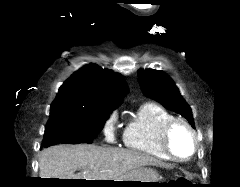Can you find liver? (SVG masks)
<instances>
[{"label": "liver", "mask_w": 240, "mask_h": 187, "mask_svg": "<svg viewBox=\"0 0 240 187\" xmlns=\"http://www.w3.org/2000/svg\"><path fill=\"white\" fill-rule=\"evenodd\" d=\"M144 166L162 164L132 150L87 144L55 145L39 154L40 178L115 180Z\"/></svg>", "instance_id": "6515ba94"}]
</instances>
